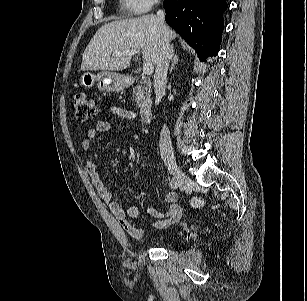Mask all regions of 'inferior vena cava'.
I'll return each instance as SVG.
<instances>
[{"label": "inferior vena cava", "instance_id": "1", "mask_svg": "<svg viewBox=\"0 0 307 301\" xmlns=\"http://www.w3.org/2000/svg\"><path fill=\"white\" fill-rule=\"evenodd\" d=\"M159 21L164 26V32L159 52L158 61L156 64V70L154 74V90L157 96H164L167 83V71L172 58L170 42L167 38L164 16L165 13L162 10L157 11L156 15ZM159 148L161 156H170L173 154V148L170 138V132L164 125L160 133Z\"/></svg>", "mask_w": 307, "mask_h": 301}]
</instances>
